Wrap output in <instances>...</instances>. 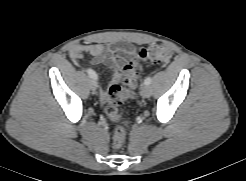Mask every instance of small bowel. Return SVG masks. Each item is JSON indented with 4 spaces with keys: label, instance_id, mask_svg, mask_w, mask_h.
I'll use <instances>...</instances> for the list:
<instances>
[{
    "label": "small bowel",
    "instance_id": "1",
    "mask_svg": "<svg viewBox=\"0 0 246 181\" xmlns=\"http://www.w3.org/2000/svg\"><path fill=\"white\" fill-rule=\"evenodd\" d=\"M136 48L133 46L113 47L101 43L92 44H75L69 50V56L72 61L78 63L84 54H89L93 57L94 64H102L111 70L110 84L120 83L123 79V66L128 59L134 55ZM101 102L105 89L100 85L97 86Z\"/></svg>",
    "mask_w": 246,
    "mask_h": 181
}]
</instances>
